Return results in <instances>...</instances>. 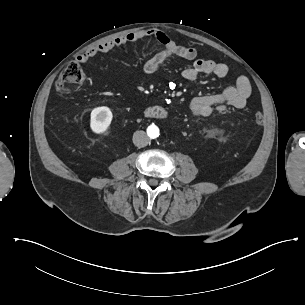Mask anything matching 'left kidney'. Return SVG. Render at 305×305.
Segmentation results:
<instances>
[{
  "instance_id": "1",
  "label": "left kidney",
  "mask_w": 305,
  "mask_h": 305,
  "mask_svg": "<svg viewBox=\"0 0 305 305\" xmlns=\"http://www.w3.org/2000/svg\"><path fill=\"white\" fill-rule=\"evenodd\" d=\"M212 131H214L215 134H218L219 129L217 127L213 128Z\"/></svg>"
}]
</instances>
